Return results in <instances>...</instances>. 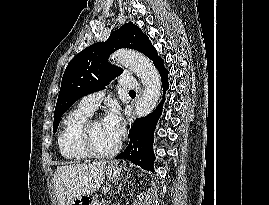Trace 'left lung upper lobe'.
<instances>
[{"mask_svg":"<svg viewBox=\"0 0 269 205\" xmlns=\"http://www.w3.org/2000/svg\"><path fill=\"white\" fill-rule=\"evenodd\" d=\"M119 48L138 50L155 63L160 57L149 38L132 22L114 31L104 43L93 44L78 53L63 74L61 89L54 112L53 132L61 116L81 97L104 89L109 81L122 73V69L109 65V55Z\"/></svg>","mask_w":269,"mask_h":205,"instance_id":"obj_1","label":"left lung upper lobe"}]
</instances>
